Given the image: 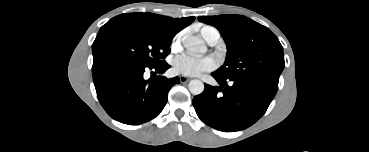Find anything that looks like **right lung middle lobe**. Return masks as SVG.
<instances>
[{
  "label": "right lung middle lobe",
  "mask_w": 369,
  "mask_h": 152,
  "mask_svg": "<svg viewBox=\"0 0 369 152\" xmlns=\"http://www.w3.org/2000/svg\"><path fill=\"white\" fill-rule=\"evenodd\" d=\"M174 36L156 32L119 15L103 25L92 45V72L113 64L152 67L164 63Z\"/></svg>",
  "instance_id": "1"
}]
</instances>
